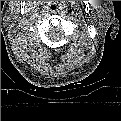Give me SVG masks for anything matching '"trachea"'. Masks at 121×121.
<instances>
[{
  "label": "trachea",
  "instance_id": "3493384b",
  "mask_svg": "<svg viewBox=\"0 0 121 121\" xmlns=\"http://www.w3.org/2000/svg\"><path fill=\"white\" fill-rule=\"evenodd\" d=\"M49 10L52 12V13H58L59 10H60V6L57 2H53L49 5Z\"/></svg>",
  "mask_w": 121,
  "mask_h": 121
}]
</instances>
